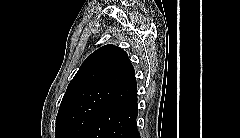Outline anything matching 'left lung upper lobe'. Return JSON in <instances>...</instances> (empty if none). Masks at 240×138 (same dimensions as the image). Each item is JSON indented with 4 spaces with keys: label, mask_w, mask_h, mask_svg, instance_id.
I'll list each match as a JSON object with an SVG mask.
<instances>
[{
    "label": "left lung upper lobe",
    "mask_w": 240,
    "mask_h": 138,
    "mask_svg": "<svg viewBox=\"0 0 240 138\" xmlns=\"http://www.w3.org/2000/svg\"><path fill=\"white\" fill-rule=\"evenodd\" d=\"M114 45L94 51L69 83L56 117L55 138H82L132 68Z\"/></svg>",
    "instance_id": "obj_1"
}]
</instances>
